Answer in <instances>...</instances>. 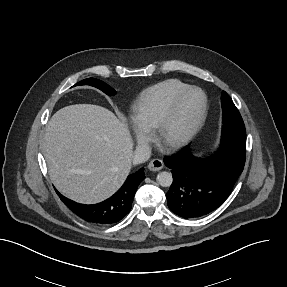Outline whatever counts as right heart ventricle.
Listing matches in <instances>:
<instances>
[{
    "mask_svg": "<svg viewBox=\"0 0 287 287\" xmlns=\"http://www.w3.org/2000/svg\"><path fill=\"white\" fill-rule=\"evenodd\" d=\"M187 87L179 80L170 79L146 89L134 106V123L144 131L155 129L172 98Z\"/></svg>",
    "mask_w": 287,
    "mask_h": 287,
    "instance_id": "1",
    "label": "right heart ventricle"
}]
</instances>
